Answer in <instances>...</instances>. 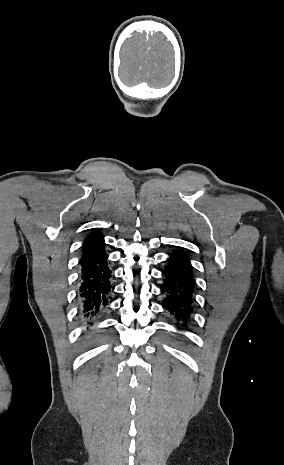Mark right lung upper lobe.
Instances as JSON below:
<instances>
[{"mask_svg":"<svg viewBox=\"0 0 284 465\" xmlns=\"http://www.w3.org/2000/svg\"><path fill=\"white\" fill-rule=\"evenodd\" d=\"M102 238V235L99 232L91 233L88 237L85 238L83 243V250L93 245L95 242L99 241Z\"/></svg>","mask_w":284,"mask_h":465,"instance_id":"1","label":"right lung upper lobe"}]
</instances>
